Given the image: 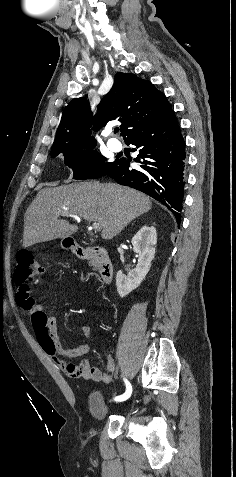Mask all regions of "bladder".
Instances as JSON below:
<instances>
[{"label": "bladder", "mask_w": 236, "mask_h": 477, "mask_svg": "<svg viewBox=\"0 0 236 477\" xmlns=\"http://www.w3.org/2000/svg\"><path fill=\"white\" fill-rule=\"evenodd\" d=\"M87 398L92 419L95 422L104 421L110 415L112 403L97 390L89 392Z\"/></svg>", "instance_id": "bladder-1"}]
</instances>
